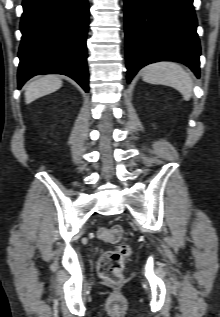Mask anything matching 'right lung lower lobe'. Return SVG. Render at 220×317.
<instances>
[{"label":"right lung lower lobe","mask_w":220,"mask_h":317,"mask_svg":"<svg viewBox=\"0 0 220 317\" xmlns=\"http://www.w3.org/2000/svg\"><path fill=\"white\" fill-rule=\"evenodd\" d=\"M18 88L40 74L71 77L88 92L87 0H23Z\"/></svg>","instance_id":"98d812e1"}]
</instances>
